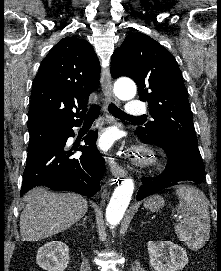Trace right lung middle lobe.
<instances>
[{
    "label": "right lung middle lobe",
    "instance_id": "1",
    "mask_svg": "<svg viewBox=\"0 0 221 271\" xmlns=\"http://www.w3.org/2000/svg\"><path fill=\"white\" fill-rule=\"evenodd\" d=\"M28 150L49 142L57 141L65 133V127L52 126L29 131Z\"/></svg>",
    "mask_w": 221,
    "mask_h": 271
}]
</instances>
